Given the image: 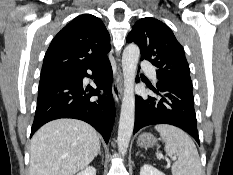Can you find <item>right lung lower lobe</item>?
Segmentation results:
<instances>
[{
  "label": "right lung lower lobe",
  "instance_id": "98d812e1",
  "mask_svg": "<svg viewBox=\"0 0 233 175\" xmlns=\"http://www.w3.org/2000/svg\"><path fill=\"white\" fill-rule=\"evenodd\" d=\"M88 69L93 71L97 89L83 87V78L89 77ZM112 77V68L106 57L69 75L40 83L31 136L51 120L74 118L92 125L108 143L115 119ZM100 90H104L107 96L93 99L92 96L99 95Z\"/></svg>",
  "mask_w": 233,
  "mask_h": 175
}]
</instances>
